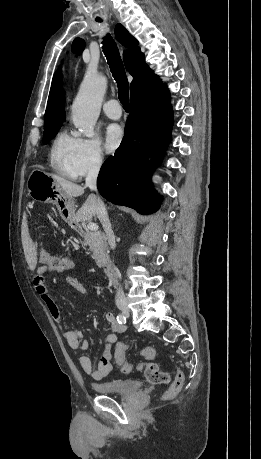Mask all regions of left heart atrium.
<instances>
[{"mask_svg": "<svg viewBox=\"0 0 261 459\" xmlns=\"http://www.w3.org/2000/svg\"><path fill=\"white\" fill-rule=\"evenodd\" d=\"M123 131L117 124H109L104 130V143L107 152L115 151L121 144Z\"/></svg>", "mask_w": 261, "mask_h": 459, "instance_id": "1", "label": "left heart atrium"}]
</instances>
